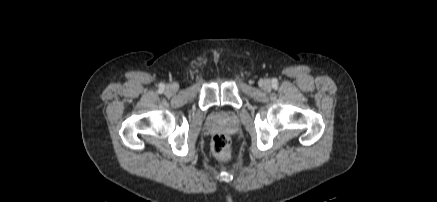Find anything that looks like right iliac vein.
Returning <instances> with one entry per match:
<instances>
[{"instance_id":"63e3f726","label":"right iliac vein","mask_w":437,"mask_h":202,"mask_svg":"<svg viewBox=\"0 0 437 202\" xmlns=\"http://www.w3.org/2000/svg\"><path fill=\"white\" fill-rule=\"evenodd\" d=\"M178 87L175 84H170L166 87L165 91L168 95H173L177 92Z\"/></svg>"}]
</instances>
